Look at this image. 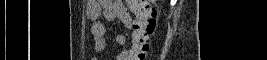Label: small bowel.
I'll return each mask as SVG.
<instances>
[{
	"label": "small bowel",
	"instance_id": "c3829d8e",
	"mask_svg": "<svg viewBox=\"0 0 267 60\" xmlns=\"http://www.w3.org/2000/svg\"><path fill=\"white\" fill-rule=\"evenodd\" d=\"M103 15L106 21L119 20L123 25L134 28L132 15L121 0H90L87 3V17L92 21L90 33L93 38L94 49L97 53H103L106 50V27L100 16ZM135 39V32L132 33V41ZM126 37L123 34L116 36V43L124 45ZM117 60H132V48L130 50L121 51ZM92 60H98L96 56Z\"/></svg>",
	"mask_w": 267,
	"mask_h": 60
}]
</instances>
